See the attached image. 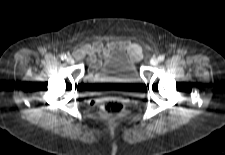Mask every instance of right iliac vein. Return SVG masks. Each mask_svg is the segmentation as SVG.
<instances>
[{
  "mask_svg": "<svg viewBox=\"0 0 225 155\" xmlns=\"http://www.w3.org/2000/svg\"><path fill=\"white\" fill-rule=\"evenodd\" d=\"M68 64H73L74 63V59L71 56H68L66 59Z\"/></svg>",
  "mask_w": 225,
  "mask_h": 155,
  "instance_id": "right-iliac-vein-1",
  "label": "right iliac vein"
}]
</instances>
